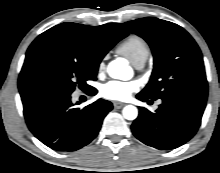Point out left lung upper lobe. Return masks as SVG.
<instances>
[{
    "label": "left lung upper lobe",
    "instance_id": "left-lung-upper-lobe-1",
    "mask_svg": "<svg viewBox=\"0 0 220 173\" xmlns=\"http://www.w3.org/2000/svg\"><path fill=\"white\" fill-rule=\"evenodd\" d=\"M121 26L145 39L154 56L150 81L139 94L152 100L179 96L207 100L201 51L182 27L152 17L121 23Z\"/></svg>",
    "mask_w": 220,
    "mask_h": 173
}]
</instances>
